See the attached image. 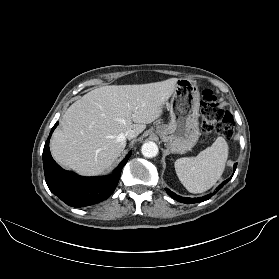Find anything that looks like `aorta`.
Wrapping results in <instances>:
<instances>
[{"mask_svg":"<svg viewBox=\"0 0 279 279\" xmlns=\"http://www.w3.org/2000/svg\"><path fill=\"white\" fill-rule=\"evenodd\" d=\"M158 146L156 143L149 141L142 145L141 152L144 157L153 158L158 154Z\"/></svg>","mask_w":279,"mask_h":279,"instance_id":"762f6f07","label":"aorta"}]
</instances>
